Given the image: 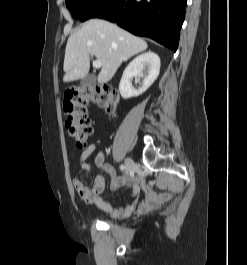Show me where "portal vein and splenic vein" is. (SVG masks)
Instances as JSON below:
<instances>
[{"label": "portal vein and splenic vein", "instance_id": "portal-vein-and-splenic-vein-1", "mask_svg": "<svg viewBox=\"0 0 247 265\" xmlns=\"http://www.w3.org/2000/svg\"><path fill=\"white\" fill-rule=\"evenodd\" d=\"M101 66H102L101 61H99V60L93 61V67L94 68H100Z\"/></svg>", "mask_w": 247, "mask_h": 265}]
</instances>
